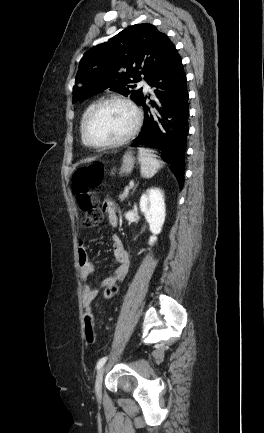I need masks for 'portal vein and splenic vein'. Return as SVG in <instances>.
Here are the masks:
<instances>
[{"instance_id":"18ae733b","label":"portal vein and splenic vein","mask_w":264,"mask_h":433,"mask_svg":"<svg viewBox=\"0 0 264 433\" xmlns=\"http://www.w3.org/2000/svg\"><path fill=\"white\" fill-rule=\"evenodd\" d=\"M130 189H131V187L126 186L125 189H124V192H125L126 194H128V192H129Z\"/></svg>"}]
</instances>
